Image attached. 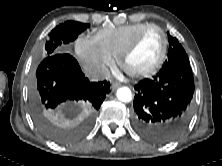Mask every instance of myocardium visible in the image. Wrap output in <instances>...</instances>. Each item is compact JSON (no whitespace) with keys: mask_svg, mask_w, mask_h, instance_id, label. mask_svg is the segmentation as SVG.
<instances>
[{"mask_svg":"<svg viewBox=\"0 0 222 166\" xmlns=\"http://www.w3.org/2000/svg\"><path fill=\"white\" fill-rule=\"evenodd\" d=\"M150 30H157L162 36V51H161V54H160L158 60L156 61V63L153 66H151L150 68L143 70V71L130 72V71L126 70L125 69V61H126L127 57L133 52V50L139 44V42L144 37V35L146 33H148ZM168 45H169V41H168V35H167L166 31L159 25L150 24V25L146 26L145 28H143L141 31H139L133 37V39L126 45V47L120 52V54L117 57L118 63L124 69V71L132 77H137V78L148 77L150 75L155 74L164 64V62L167 58Z\"/></svg>","mask_w":222,"mask_h":166,"instance_id":"obj_1","label":"myocardium"}]
</instances>
